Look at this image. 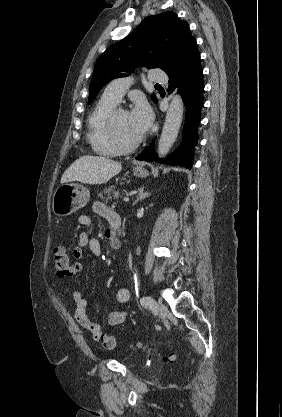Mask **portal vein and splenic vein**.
<instances>
[{
    "mask_svg": "<svg viewBox=\"0 0 282 417\" xmlns=\"http://www.w3.org/2000/svg\"><path fill=\"white\" fill-rule=\"evenodd\" d=\"M128 200H129V198H128V196H127V195L121 196V202H122V203H127V202H128Z\"/></svg>",
    "mask_w": 282,
    "mask_h": 417,
    "instance_id": "obj_1",
    "label": "portal vein and splenic vein"
}]
</instances>
